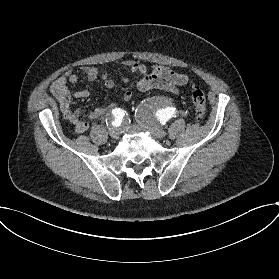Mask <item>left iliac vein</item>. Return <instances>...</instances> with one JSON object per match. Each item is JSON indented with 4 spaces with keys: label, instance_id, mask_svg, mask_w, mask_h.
I'll use <instances>...</instances> for the list:
<instances>
[{
    "label": "left iliac vein",
    "instance_id": "obj_1",
    "mask_svg": "<svg viewBox=\"0 0 279 279\" xmlns=\"http://www.w3.org/2000/svg\"><path fill=\"white\" fill-rule=\"evenodd\" d=\"M147 129L156 137H164L166 135L165 130H163L160 125H148Z\"/></svg>",
    "mask_w": 279,
    "mask_h": 279
}]
</instances>
